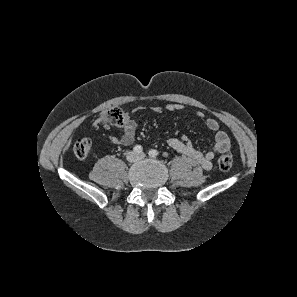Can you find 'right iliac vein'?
Instances as JSON below:
<instances>
[{
	"label": "right iliac vein",
	"instance_id": "1",
	"mask_svg": "<svg viewBox=\"0 0 297 297\" xmlns=\"http://www.w3.org/2000/svg\"><path fill=\"white\" fill-rule=\"evenodd\" d=\"M126 158L128 161L130 162H134L137 160L138 156L135 152L131 151V152H128L127 155H126Z\"/></svg>",
	"mask_w": 297,
	"mask_h": 297
}]
</instances>
